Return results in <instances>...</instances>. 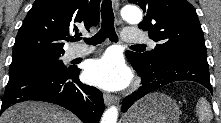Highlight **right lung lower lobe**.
Here are the masks:
<instances>
[{"instance_id":"1","label":"right lung lower lobe","mask_w":221,"mask_h":123,"mask_svg":"<svg viewBox=\"0 0 221 123\" xmlns=\"http://www.w3.org/2000/svg\"><path fill=\"white\" fill-rule=\"evenodd\" d=\"M80 69L27 68L9 73L1 110L37 100L58 104L84 123H98L103 111L102 92L79 81Z\"/></svg>"}]
</instances>
